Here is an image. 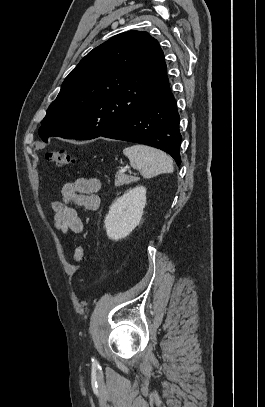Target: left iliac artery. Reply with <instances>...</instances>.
I'll use <instances>...</instances> for the list:
<instances>
[{
    "instance_id": "1",
    "label": "left iliac artery",
    "mask_w": 265,
    "mask_h": 407,
    "mask_svg": "<svg viewBox=\"0 0 265 407\" xmlns=\"http://www.w3.org/2000/svg\"><path fill=\"white\" fill-rule=\"evenodd\" d=\"M92 361H93V362H95V359H94V358H92Z\"/></svg>"
}]
</instances>
